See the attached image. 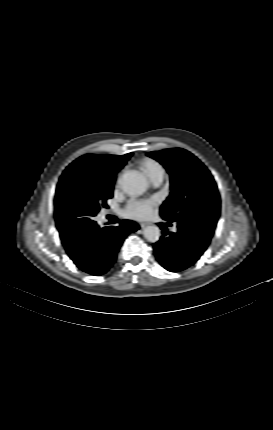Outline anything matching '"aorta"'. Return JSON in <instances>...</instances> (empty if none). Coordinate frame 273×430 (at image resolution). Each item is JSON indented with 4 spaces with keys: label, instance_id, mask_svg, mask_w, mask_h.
I'll return each mask as SVG.
<instances>
[{
    "label": "aorta",
    "instance_id": "aorta-1",
    "mask_svg": "<svg viewBox=\"0 0 273 430\" xmlns=\"http://www.w3.org/2000/svg\"><path fill=\"white\" fill-rule=\"evenodd\" d=\"M148 181L143 174L136 170L127 171L122 176V188L130 196L137 197L146 192ZM161 236L158 226H147L144 229V237L149 242H157Z\"/></svg>",
    "mask_w": 273,
    "mask_h": 430
}]
</instances>
